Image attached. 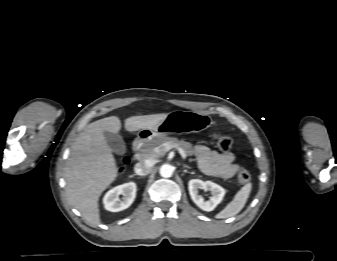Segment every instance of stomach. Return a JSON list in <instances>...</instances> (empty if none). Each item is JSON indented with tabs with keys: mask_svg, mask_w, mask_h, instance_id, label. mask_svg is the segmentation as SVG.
I'll return each mask as SVG.
<instances>
[{
	"mask_svg": "<svg viewBox=\"0 0 337 261\" xmlns=\"http://www.w3.org/2000/svg\"><path fill=\"white\" fill-rule=\"evenodd\" d=\"M211 125L212 120L207 114L175 110L168 113L165 119L153 127L141 130L140 137L157 138L170 134L198 133L208 129Z\"/></svg>",
	"mask_w": 337,
	"mask_h": 261,
	"instance_id": "0dacf381",
	"label": "stomach"
}]
</instances>
